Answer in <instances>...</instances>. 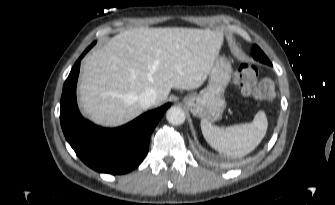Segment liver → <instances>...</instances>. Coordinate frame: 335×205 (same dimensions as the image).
Returning <instances> with one entry per match:
<instances>
[{
	"label": "liver",
	"mask_w": 335,
	"mask_h": 205,
	"mask_svg": "<svg viewBox=\"0 0 335 205\" xmlns=\"http://www.w3.org/2000/svg\"><path fill=\"white\" fill-rule=\"evenodd\" d=\"M223 44L209 29L133 28L112 37L83 62L79 99L96 124L122 125L140 115L148 88L162 104L172 88L192 90L206 80Z\"/></svg>",
	"instance_id": "liver-1"
}]
</instances>
